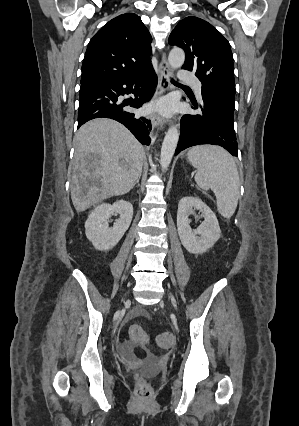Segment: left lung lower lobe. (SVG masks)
<instances>
[{
    "label": "left lung lower lobe",
    "mask_w": 299,
    "mask_h": 426,
    "mask_svg": "<svg viewBox=\"0 0 299 426\" xmlns=\"http://www.w3.org/2000/svg\"><path fill=\"white\" fill-rule=\"evenodd\" d=\"M202 93V104L190 99L192 108L200 109L197 115H184L181 119V135L175 155L182 150L200 144L219 145L238 156V146L233 125L234 105L210 94Z\"/></svg>",
    "instance_id": "obj_1"
}]
</instances>
